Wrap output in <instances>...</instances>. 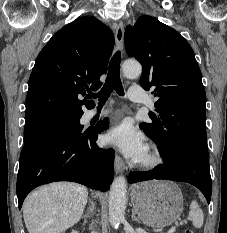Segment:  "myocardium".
<instances>
[{
  "label": "myocardium",
  "mask_w": 227,
  "mask_h": 233,
  "mask_svg": "<svg viewBox=\"0 0 227 233\" xmlns=\"http://www.w3.org/2000/svg\"><path fill=\"white\" fill-rule=\"evenodd\" d=\"M163 162V154L159 147L155 144H150L147 147L146 155L138 160V166L143 170H154L160 167Z\"/></svg>",
  "instance_id": "obj_1"
}]
</instances>
